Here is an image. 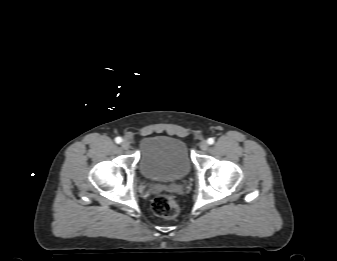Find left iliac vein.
Here are the masks:
<instances>
[{
    "label": "left iliac vein",
    "mask_w": 337,
    "mask_h": 261,
    "mask_svg": "<svg viewBox=\"0 0 337 261\" xmlns=\"http://www.w3.org/2000/svg\"><path fill=\"white\" fill-rule=\"evenodd\" d=\"M199 147L201 150L206 151L208 149V142L206 140L201 141Z\"/></svg>",
    "instance_id": "1"
}]
</instances>
